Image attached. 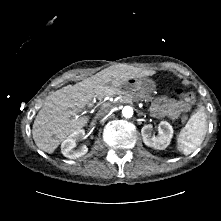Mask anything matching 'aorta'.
<instances>
[{"instance_id": "1", "label": "aorta", "mask_w": 221, "mask_h": 221, "mask_svg": "<svg viewBox=\"0 0 221 221\" xmlns=\"http://www.w3.org/2000/svg\"><path fill=\"white\" fill-rule=\"evenodd\" d=\"M122 115L125 117V118H131L133 116V108L130 107V106H125L123 109H122Z\"/></svg>"}]
</instances>
